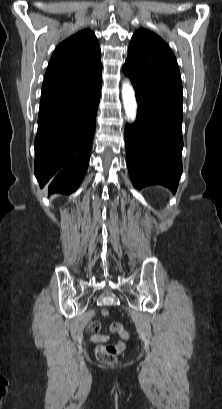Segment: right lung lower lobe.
Returning <instances> with one entry per match:
<instances>
[{
    "instance_id": "obj_1",
    "label": "right lung lower lobe",
    "mask_w": 222,
    "mask_h": 409,
    "mask_svg": "<svg viewBox=\"0 0 222 409\" xmlns=\"http://www.w3.org/2000/svg\"><path fill=\"white\" fill-rule=\"evenodd\" d=\"M99 72L78 93L41 101L35 139L34 173L49 194H71L82 182L90 159L101 95Z\"/></svg>"
}]
</instances>
